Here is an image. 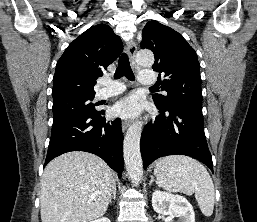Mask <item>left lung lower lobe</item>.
I'll list each match as a JSON object with an SVG mask.
<instances>
[{"label":"left lung lower lobe","mask_w":257,"mask_h":222,"mask_svg":"<svg viewBox=\"0 0 257 222\" xmlns=\"http://www.w3.org/2000/svg\"><path fill=\"white\" fill-rule=\"evenodd\" d=\"M158 109L160 114L145 126L141 136L144 169L159 157L181 154L198 159L213 171L202 110L177 105Z\"/></svg>","instance_id":"left-lung-lower-lobe-1"}]
</instances>
